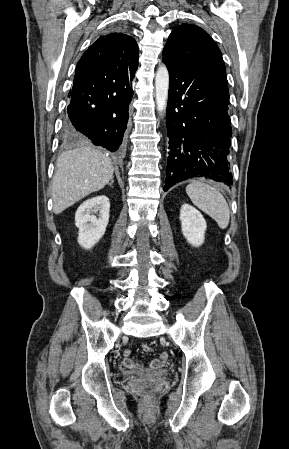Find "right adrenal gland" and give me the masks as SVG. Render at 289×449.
<instances>
[{
	"label": "right adrenal gland",
	"mask_w": 289,
	"mask_h": 449,
	"mask_svg": "<svg viewBox=\"0 0 289 449\" xmlns=\"http://www.w3.org/2000/svg\"><path fill=\"white\" fill-rule=\"evenodd\" d=\"M113 183H114V181L113 180H111V183H109V185L111 186V187H113L112 185H113Z\"/></svg>",
	"instance_id": "right-adrenal-gland-1"
}]
</instances>
